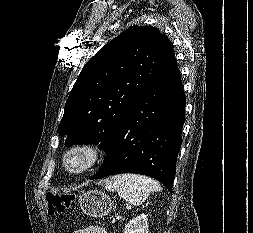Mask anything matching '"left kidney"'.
Instances as JSON below:
<instances>
[{
	"mask_svg": "<svg viewBox=\"0 0 253 233\" xmlns=\"http://www.w3.org/2000/svg\"><path fill=\"white\" fill-rule=\"evenodd\" d=\"M124 233H148V218L145 214H140L130 220L124 228Z\"/></svg>",
	"mask_w": 253,
	"mask_h": 233,
	"instance_id": "obj_1",
	"label": "left kidney"
}]
</instances>
